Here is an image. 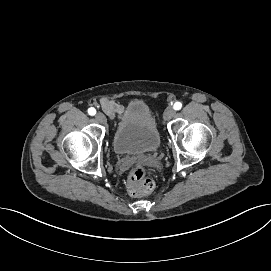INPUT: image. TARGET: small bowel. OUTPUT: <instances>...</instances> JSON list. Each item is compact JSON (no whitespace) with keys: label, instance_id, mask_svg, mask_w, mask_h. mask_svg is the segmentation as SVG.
<instances>
[{"label":"small bowel","instance_id":"1","mask_svg":"<svg viewBox=\"0 0 271 271\" xmlns=\"http://www.w3.org/2000/svg\"><path fill=\"white\" fill-rule=\"evenodd\" d=\"M100 106L110 118L121 117L126 109L124 105L107 98L100 100Z\"/></svg>","mask_w":271,"mask_h":271}]
</instances>
